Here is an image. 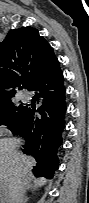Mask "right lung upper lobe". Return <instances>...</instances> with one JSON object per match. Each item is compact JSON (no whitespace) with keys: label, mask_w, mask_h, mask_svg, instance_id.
I'll list each match as a JSON object with an SVG mask.
<instances>
[{"label":"right lung upper lobe","mask_w":89,"mask_h":203,"mask_svg":"<svg viewBox=\"0 0 89 203\" xmlns=\"http://www.w3.org/2000/svg\"><path fill=\"white\" fill-rule=\"evenodd\" d=\"M58 65L53 48L37 29L27 26L11 30L0 43V106L12 102L15 88L23 84L29 89Z\"/></svg>","instance_id":"obj_1"}]
</instances>
